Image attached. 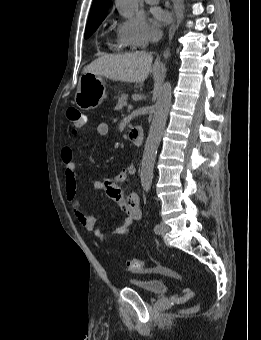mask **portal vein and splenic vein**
Listing matches in <instances>:
<instances>
[{
  "mask_svg": "<svg viewBox=\"0 0 261 340\" xmlns=\"http://www.w3.org/2000/svg\"><path fill=\"white\" fill-rule=\"evenodd\" d=\"M131 109H133V106H132V105H129V106H128V110H131Z\"/></svg>",
  "mask_w": 261,
  "mask_h": 340,
  "instance_id": "1",
  "label": "portal vein and splenic vein"
}]
</instances>
